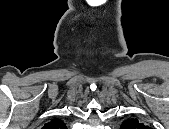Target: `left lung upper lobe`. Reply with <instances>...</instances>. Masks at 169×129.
Instances as JSON below:
<instances>
[{"mask_svg": "<svg viewBox=\"0 0 169 129\" xmlns=\"http://www.w3.org/2000/svg\"><path fill=\"white\" fill-rule=\"evenodd\" d=\"M148 126L144 125L143 123H140L137 119H127L125 120L121 126L120 129H147Z\"/></svg>", "mask_w": 169, "mask_h": 129, "instance_id": "5c2ea615", "label": "left lung upper lobe"}]
</instances>
